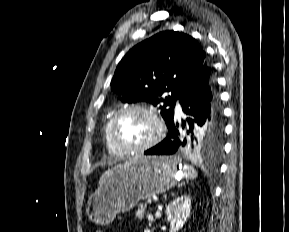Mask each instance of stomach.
Here are the masks:
<instances>
[{
    "label": "stomach",
    "instance_id": "0dacf381",
    "mask_svg": "<svg viewBox=\"0 0 289 232\" xmlns=\"http://www.w3.org/2000/svg\"><path fill=\"white\" fill-rule=\"evenodd\" d=\"M174 157H137L112 169L89 197L86 214L96 224L112 222L118 213L130 211L140 200L163 193L177 183Z\"/></svg>",
    "mask_w": 289,
    "mask_h": 232
}]
</instances>
